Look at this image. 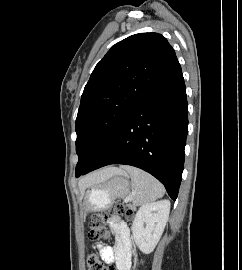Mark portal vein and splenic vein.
Masks as SVG:
<instances>
[{
    "label": "portal vein and splenic vein",
    "instance_id": "18ae733b",
    "mask_svg": "<svg viewBox=\"0 0 242 270\" xmlns=\"http://www.w3.org/2000/svg\"><path fill=\"white\" fill-rule=\"evenodd\" d=\"M132 196V195H131ZM130 201V196H127L126 198H125V202L127 203V202H129Z\"/></svg>",
    "mask_w": 242,
    "mask_h": 270
}]
</instances>
